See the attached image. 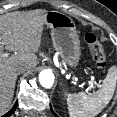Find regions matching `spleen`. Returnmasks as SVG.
Segmentation results:
<instances>
[{"label":"spleen","instance_id":"obj_1","mask_svg":"<svg viewBox=\"0 0 117 117\" xmlns=\"http://www.w3.org/2000/svg\"><path fill=\"white\" fill-rule=\"evenodd\" d=\"M116 81L117 68L112 66L98 91L89 95L84 92L66 94L69 117H94L99 114L111 100Z\"/></svg>","mask_w":117,"mask_h":117}]
</instances>
